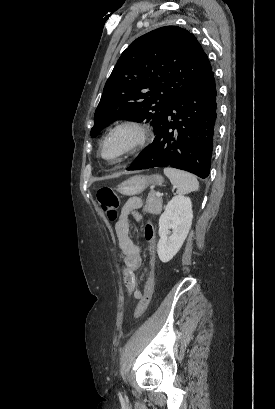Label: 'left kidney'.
<instances>
[{"label": "left kidney", "mask_w": 275, "mask_h": 409, "mask_svg": "<svg viewBox=\"0 0 275 409\" xmlns=\"http://www.w3.org/2000/svg\"><path fill=\"white\" fill-rule=\"evenodd\" d=\"M192 202L188 196H173L159 219L158 257L168 263L181 249L192 225ZM172 229V235H170ZM170 235V237H168Z\"/></svg>", "instance_id": "obj_1"}]
</instances>
